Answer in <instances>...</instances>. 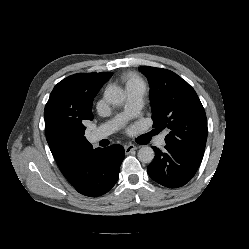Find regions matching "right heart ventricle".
Returning a JSON list of instances; mask_svg holds the SVG:
<instances>
[{
    "instance_id": "1",
    "label": "right heart ventricle",
    "mask_w": 249,
    "mask_h": 249,
    "mask_svg": "<svg viewBox=\"0 0 249 249\" xmlns=\"http://www.w3.org/2000/svg\"><path fill=\"white\" fill-rule=\"evenodd\" d=\"M124 81H125L126 89L135 88V87L145 88L144 81L142 80L140 76H138L135 73H129L125 75Z\"/></svg>"
}]
</instances>
